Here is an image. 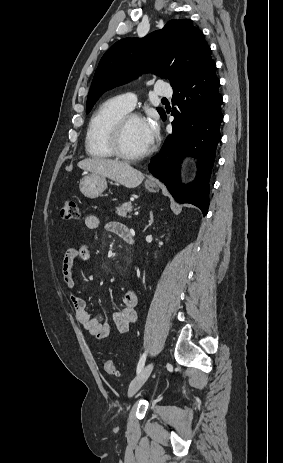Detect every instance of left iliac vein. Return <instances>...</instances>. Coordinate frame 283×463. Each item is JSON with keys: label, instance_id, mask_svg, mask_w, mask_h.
Instances as JSON below:
<instances>
[{"label": "left iliac vein", "instance_id": "obj_1", "mask_svg": "<svg viewBox=\"0 0 283 463\" xmlns=\"http://www.w3.org/2000/svg\"><path fill=\"white\" fill-rule=\"evenodd\" d=\"M154 367V362L148 363L129 385L128 396L132 397L147 381Z\"/></svg>", "mask_w": 283, "mask_h": 463}]
</instances>
